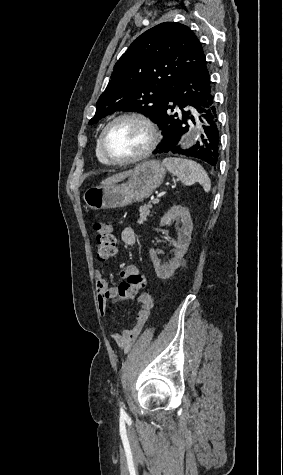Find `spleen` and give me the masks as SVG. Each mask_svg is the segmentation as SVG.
<instances>
[{"label": "spleen", "mask_w": 283, "mask_h": 475, "mask_svg": "<svg viewBox=\"0 0 283 475\" xmlns=\"http://www.w3.org/2000/svg\"><path fill=\"white\" fill-rule=\"evenodd\" d=\"M165 168L171 172L173 176H177L185 186H193V184H201L204 192H210L211 182L204 168L193 162V160H182V158H165L163 160Z\"/></svg>", "instance_id": "obj_1"}]
</instances>
